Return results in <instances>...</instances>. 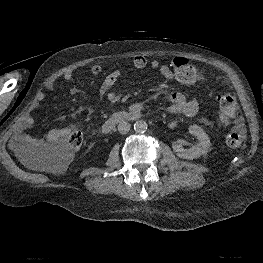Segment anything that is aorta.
I'll return each mask as SVG.
<instances>
[{"label": "aorta", "instance_id": "1", "mask_svg": "<svg viewBox=\"0 0 263 263\" xmlns=\"http://www.w3.org/2000/svg\"><path fill=\"white\" fill-rule=\"evenodd\" d=\"M148 125L144 120H138L134 123V130L137 133H144L147 131Z\"/></svg>", "mask_w": 263, "mask_h": 263}]
</instances>
